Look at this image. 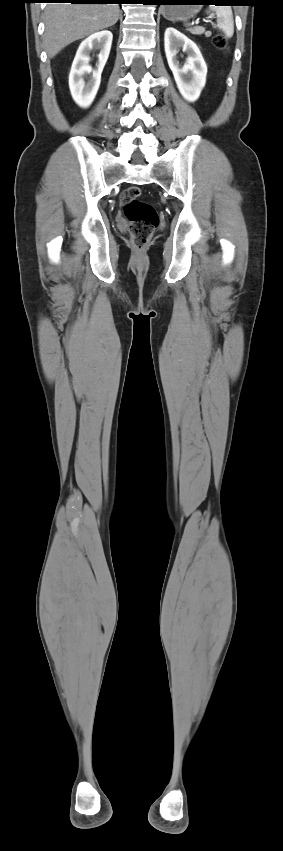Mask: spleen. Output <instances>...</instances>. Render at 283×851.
<instances>
[{"mask_svg":"<svg viewBox=\"0 0 283 851\" xmlns=\"http://www.w3.org/2000/svg\"><path fill=\"white\" fill-rule=\"evenodd\" d=\"M209 10L215 12L217 16V27L224 32L226 37H232L234 34V20L232 9L230 7L224 6H213L210 7Z\"/></svg>","mask_w":283,"mask_h":851,"instance_id":"1","label":"spleen"}]
</instances>
